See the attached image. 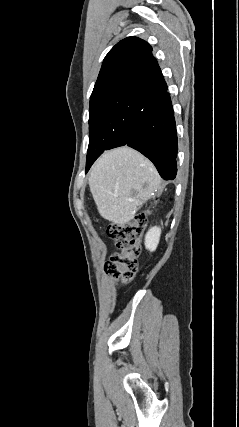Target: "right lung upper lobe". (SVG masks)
Returning a JSON list of instances; mask_svg holds the SVG:
<instances>
[{
    "mask_svg": "<svg viewBox=\"0 0 239 427\" xmlns=\"http://www.w3.org/2000/svg\"><path fill=\"white\" fill-rule=\"evenodd\" d=\"M167 89L152 47L137 37H127L106 55L90 97V105L126 96L147 98Z\"/></svg>",
    "mask_w": 239,
    "mask_h": 427,
    "instance_id": "cb5924a9",
    "label": "right lung upper lobe"
}]
</instances>
